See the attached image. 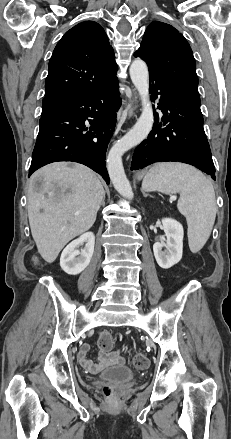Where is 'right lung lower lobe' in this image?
<instances>
[{"label":"right lung lower lobe","mask_w":231,"mask_h":439,"mask_svg":"<svg viewBox=\"0 0 231 439\" xmlns=\"http://www.w3.org/2000/svg\"><path fill=\"white\" fill-rule=\"evenodd\" d=\"M117 88L116 77L107 87L41 116L29 176L46 164L73 161L90 167L109 184L105 158L121 102Z\"/></svg>","instance_id":"1"}]
</instances>
